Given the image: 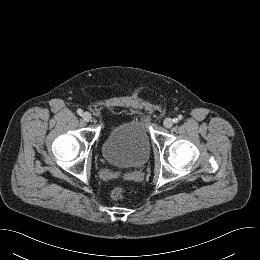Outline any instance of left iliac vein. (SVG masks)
<instances>
[{"label": "left iliac vein", "mask_w": 260, "mask_h": 260, "mask_svg": "<svg viewBox=\"0 0 260 260\" xmlns=\"http://www.w3.org/2000/svg\"><path fill=\"white\" fill-rule=\"evenodd\" d=\"M163 125H164L165 128H171L172 125H173V120L171 118H166L163 121Z\"/></svg>", "instance_id": "obj_1"}]
</instances>
